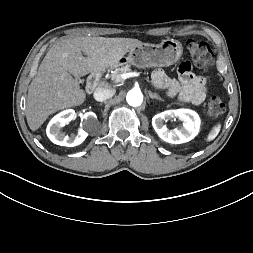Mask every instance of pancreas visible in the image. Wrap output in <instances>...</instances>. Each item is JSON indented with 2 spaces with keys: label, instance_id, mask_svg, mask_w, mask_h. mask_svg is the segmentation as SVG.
<instances>
[{
  "label": "pancreas",
  "instance_id": "cf45deb5",
  "mask_svg": "<svg viewBox=\"0 0 253 253\" xmlns=\"http://www.w3.org/2000/svg\"><path fill=\"white\" fill-rule=\"evenodd\" d=\"M113 71H112V74L110 75L111 79L112 80H117L118 77L121 75V74H124V73H127V72H130L131 69H130V66H123V67H115V68H112Z\"/></svg>",
  "mask_w": 253,
  "mask_h": 253
}]
</instances>
